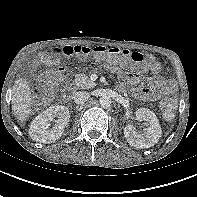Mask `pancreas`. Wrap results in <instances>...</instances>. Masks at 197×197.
<instances>
[{"mask_svg": "<svg viewBox=\"0 0 197 197\" xmlns=\"http://www.w3.org/2000/svg\"><path fill=\"white\" fill-rule=\"evenodd\" d=\"M71 85L73 89H90L95 87L96 83L91 81L85 74H77Z\"/></svg>", "mask_w": 197, "mask_h": 197, "instance_id": "pancreas-1", "label": "pancreas"}]
</instances>
